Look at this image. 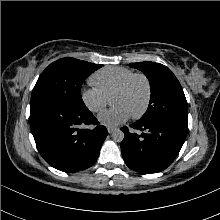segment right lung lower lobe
Masks as SVG:
<instances>
[{
  "label": "right lung lower lobe",
  "mask_w": 220,
  "mask_h": 220,
  "mask_svg": "<svg viewBox=\"0 0 220 220\" xmlns=\"http://www.w3.org/2000/svg\"><path fill=\"white\" fill-rule=\"evenodd\" d=\"M91 124L94 129L78 128ZM30 126L41 156L63 172L91 167L108 135L87 107L76 108L48 98L31 100Z\"/></svg>",
  "instance_id": "obj_1"
}]
</instances>
